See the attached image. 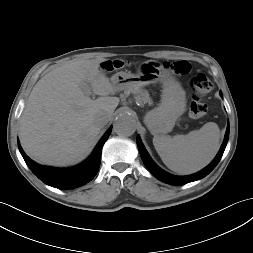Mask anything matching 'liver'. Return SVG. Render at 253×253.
<instances>
[{
  "instance_id": "1",
  "label": "liver",
  "mask_w": 253,
  "mask_h": 253,
  "mask_svg": "<svg viewBox=\"0 0 253 253\" xmlns=\"http://www.w3.org/2000/svg\"><path fill=\"white\" fill-rule=\"evenodd\" d=\"M105 59L70 61L43 76L32 89L20 118V142L33 160L67 166L84 159L102 127L97 115L110 117L119 104L116 87L100 69ZM88 83L100 95L92 100L82 89Z\"/></svg>"
}]
</instances>
